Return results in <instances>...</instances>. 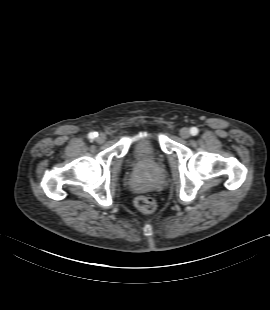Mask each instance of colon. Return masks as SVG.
Here are the masks:
<instances>
[{
    "instance_id": "5ec220e1",
    "label": "colon",
    "mask_w": 270,
    "mask_h": 310,
    "mask_svg": "<svg viewBox=\"0 0 270 310\" xmlns=\"http://www.w3.org/2000/svg\"><path fill=\"white\" fill-rule=\"evenodd\" d=\"M135 206L140 212L151 214L156 210L157 202L151 196L141 195L135 199Z\"/></svg>"
}]
</instances>
